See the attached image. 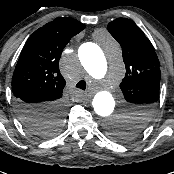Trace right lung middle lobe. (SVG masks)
<instances>
[{"mask_svg": "<svg viewBox=\"0 0 174 174\" xmlns=\"http://www.w3.org/2000/svg\"><path fill=\"white\" fill-rule=\"evenodd\" d=\"M61 119V113L55 112L49 120L25 123L27 124L28 129L36 135L52 136L59 131Z\"/></svg>", "mask_w": 174, "mask_h": 174, "instance_id": "obj_1", "label": "right lung middle lobe"}]
</instances>
